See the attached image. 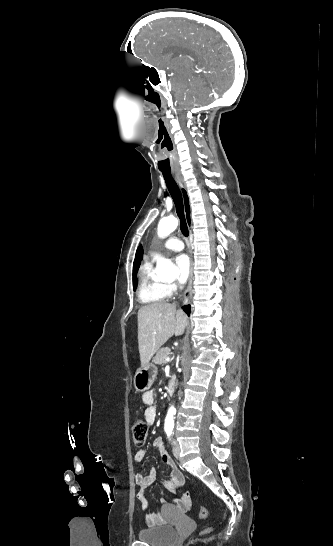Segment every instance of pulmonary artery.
I'll list each match as a JSON object with an SVG mask.
<instances>
[{"instance_id": "1", "label": "pulmonary artery", "mask_w": 333, "mask_h": 546, "mask_svg": "<svg viewBox=\"0 0 333 546\" xmlns=\"http://www.w3.org/2000/svg\"><path fill=\"white\" fill-rule=\"evenodd\" d=\"M164 248L170 251H181L184 248V244L180 239L172 237L164 243Z\"/></svg>"}]
</instances>
